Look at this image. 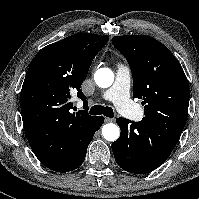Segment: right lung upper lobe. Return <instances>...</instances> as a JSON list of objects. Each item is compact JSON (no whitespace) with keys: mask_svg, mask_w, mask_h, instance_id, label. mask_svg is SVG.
<instances>
[{"mask_svg":"<svg viewBox=\"0 0 199 199\" xmlns=\"http://www.w3.org/2000/svg\"><path fill=\"white\" fill-rule=\"evenodd\" d=\"M109 37L78 33L42 48L32 60L20 94L24 130L38 129L50 140L48 154L59 156L64 144L95 116L71 113L72 93L87 103L81 84L93 58Z\"/></svg>","mask_w":199,"mask_h":199,"instance_id":"right-lung-upper-lobe-1","label":"right lung upper lobe"}]
</instances>
